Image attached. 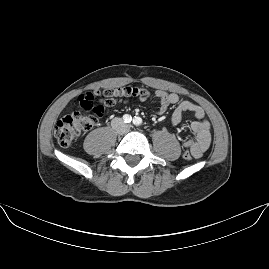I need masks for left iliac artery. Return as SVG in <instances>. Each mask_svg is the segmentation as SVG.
<instances>
[{
  "label": "left iliac artery",
  "instance_id": "left-iliac-artery-1",
  "mask_svg": "<svg viewBox=\"0 0 269 269\" xmlns=\"http://www.w3.org/2000/svg\"><path fill=\"white\" fill-rule=\"evenodd\" d=\"M133 124L136 126H140L142 124V119L140 117H134Z\"/></svg>",
  "mask_w": 269,
  "mask_h": 269
}]
</instances>
